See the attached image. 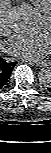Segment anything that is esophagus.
Returning <instances> with one entry per match:
<instances>
[{"label": "esophagus", "mask_w": 51, "mask_h": 153, "mask_svg": "<svg viewBox=\"0 0 51 153\" xmlns=\"http://www.w3.org/2000/svg\"><path fill=\"white\" fill-rule=\"evenodd\" d=\"M24 61L28 62L31 65L38 66V67L47 66L49 64L46 60L39 61V62H33V61H30V60H24Z\"/></svg>", "instance_id": "34e87169"}]
</instances>
